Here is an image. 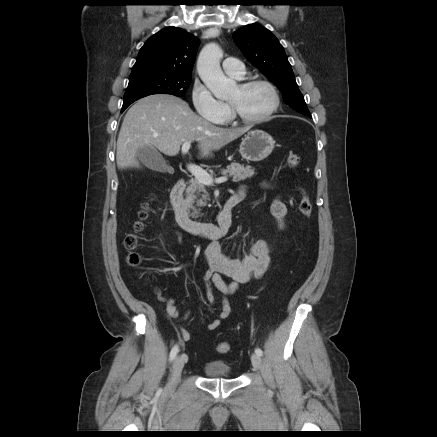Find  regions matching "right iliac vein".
Segmentation results:
<instances>
[{"mask_svg":"<svg viewBox=\"0 0 437 437\" xmlns=\"http://www.w3.org/2000/svg\"><path fill=\"white\" fill-rule=\"evenodd\" d=\"M185 362H186V358L184 355H178L176 357V359L174 360L171 378H170L169 384L167 386L168 392H172L175 389V387L179 381L183 367L185 365Z\"/></svg>","mask_w":437,"mask_h":437,"instance_id":"right-iliac-vein-1","label":"right iliac vein"}]
</instances>
